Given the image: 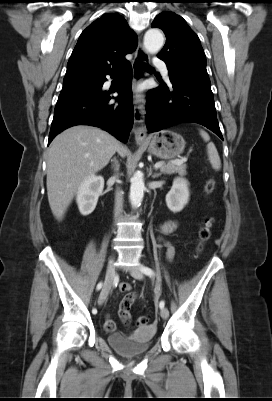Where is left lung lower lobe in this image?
Masks as SVG:
<instances>
[{"label": "left lung lower lobe", "mask_w": 272, "mask_h": 401, "mask_svg": "<svg viewBox=\"0 0 272 401\" xmlns=\"http://www.w3.org/2000/svg\"><path fill=\"white\" fill-rule=\"evenodd\" d=\"M146 126L157 132L183 122L201 124L223 139L216 117L211 84L170 76L147 94Z\"/></svg>", "instance_id": "left-lung-lower-lobe-1"}]
</instances>
